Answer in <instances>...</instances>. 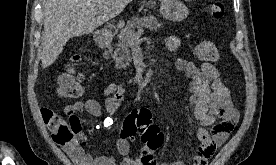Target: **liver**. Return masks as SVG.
Instances as JSON below:
<instances>
[{"label": "liver", "mask_w": 276, "mask_h": 165, "mask_svg": "<svg viewBox=\"0 0 276 165\" xmlns=\"http://www.w3.org/2000/svg\"><path fill=\"white\" fill-rule=\"evenodd\" d=\"M131 1L47 0L40 53L42 68L49 67L58 59L70 38L92 33L118 16Z\"/></svg>", "instance_id": "liver-1"}]
</instances>
